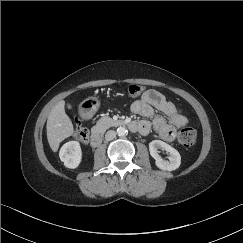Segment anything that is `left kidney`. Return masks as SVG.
Here are the masks:
<instances>
[{"instance_id":"1","label":"left kidney","mask_w":243,"mask_h":243,"mask_svg":"<svg viewBox=\"0 0 243 243\" xmlns=\"http://www.w3.org/2000/svg\"><path fill=\"white\" fill-rule=\"evenodd\" d=\"M158 149L165 150L169 153V161L163 160L158 154ZM149 151L151 156L155 159L156 166L161 170L173 171L179 168L181 164V156L179 152L160 140H153L149 143Z\"/></svg>"}]
</instances>
